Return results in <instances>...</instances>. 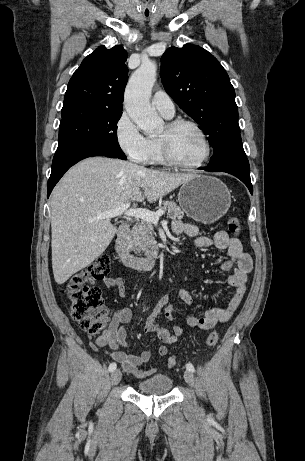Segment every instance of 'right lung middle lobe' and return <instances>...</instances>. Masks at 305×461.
Instances as JSON below:
<instances>
[{"instance_id": "1", "label": "right lung middle lobe", "mask_w": 305, "mask_h": 461, "mask_svg": "<svg viewBox=\"0 0 305 461\" xmlns=\"http://www.w3.org/2000/svg\"><path fill=\"white\" fill-rule=\"evenodd\" d=\"M56 152L82 146L103 147L126 159L117 141L116 125L122 111L77 105L62 108Z\"/></svg>"}]
</instances>
